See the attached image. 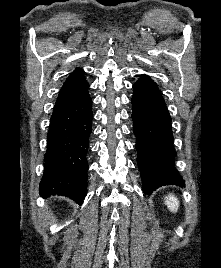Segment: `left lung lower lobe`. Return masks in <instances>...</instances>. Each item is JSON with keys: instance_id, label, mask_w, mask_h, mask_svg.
Here are the masks:
<instances>
[{"instance_id": "0a47b994", "label": "left lung lower lobe", "mask_w": 221, "mask_h": 268, "mask_svg": "<svg viewBox=\"0 0 221 268\" xmlns=\"http://www.w3.org/2000/svg\"><path fill=\"white\" fill-rule=\"evenodd\" d=\"M133 89V129L144 193L164 185L183 186L184 181L174 167L171 117L157 85L141 77Z\"/></svg>"}]
</instances>
